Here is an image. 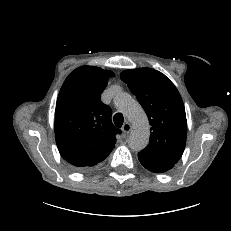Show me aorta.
I'll return each instance as SVG.
<instances>
[{
    "label": "aorta",
    "instance_id": "1",
    "mask_svg": "<svg viewBox=\"0 0 231 231\" xmlns=\"http://www.w3.org/2000/svg\"><path fill=\"white\" fill-rule=\"evenodd\" d=\"M114 103L132 123L129 147L134 151L143 150L148 145L150 137V125L143 108L127 93L118 94Z\"/></svg>",
    "mask_w": 231,
    "mask_h": 231
}]
</instances>
